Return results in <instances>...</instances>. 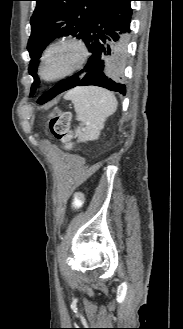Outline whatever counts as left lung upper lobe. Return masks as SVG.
I'll use <instances>...</instances> for the list:
<instances>
[{
  "label": "left lung upper lobe",
  "mask_w": 183,
  "mask_h": 329,
  "mask_svg": "<svg viewBox=\"0 0 183 329\" xmlns=\"http://www.w3.org/2000/svg\"><path fill=\"white\" fill-rule=\"evenodd\" d=\"M31 17V36L27 49L31 61L29 74L34 77L30 96L39 86L36 74L42 51L54 39L69 36L83 39L89 25L112 0H35Z\"/></svg>",
  "instance_id": "1"
}]
</instances>
